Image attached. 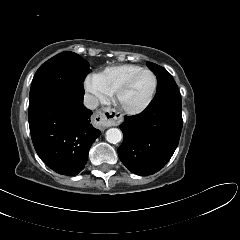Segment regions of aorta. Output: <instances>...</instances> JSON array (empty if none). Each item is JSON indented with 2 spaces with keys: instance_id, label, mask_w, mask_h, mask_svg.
<instances>
[{
  "instance_id": "1",
  "label": "aorta",
  "mask_w": 240,
  "mask_h": 240,
  "mask_svg": "<svg viewBox=\"0 0 240 240\" xmlns=\"http://www.w3.org/2000/svg\"><path fill=\"white\" fill-rule=\"evenodd\" d=\"M122 139V132L117 128H110L106 131V140L111 144L119 143Z\"/></svg>"
}]
</instances>
